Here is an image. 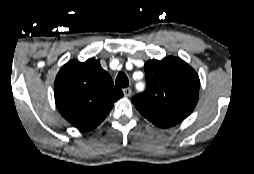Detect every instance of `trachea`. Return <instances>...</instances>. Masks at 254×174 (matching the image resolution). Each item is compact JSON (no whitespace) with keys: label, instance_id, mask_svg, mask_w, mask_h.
Masks as SVG:
<instances>
[{"label":"trachea","instance_id":"1","mask_svg":"<svg viewBox=\"0 0 254 174\" xmlns=\"http://www.w3.org/2000/svg\"><path fill=\"white\" fill-rule=\"evenodd\" d=\"M116 86L125 88L129 86V80L128 77L126 76V74L124 73H119L116 77V81H115Z\"/></svg>","mask_w":254,"mask_h":174}]
</instances>
